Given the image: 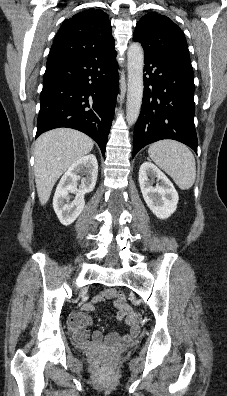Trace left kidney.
I'll return each mask as SVG.
<instances>
[{"label": "left kidney", "mask_w": 227, "mask_h": 396, "mask_svg": "<svg viewBox=\"0 0 227 396\" xmlns=\"http://www.w3.org/2000/svg\"><path fill=\"white\" fill-rule=\"evenodd\" d=\"M156 179V186H153ZM139 185L149 209L159 219L170 217L177 208L178 193L168 177L151 162L139 169Z\"/></svg>", "instance_id": "5707ae66"}]
</instances>
